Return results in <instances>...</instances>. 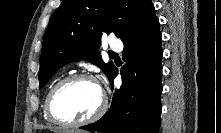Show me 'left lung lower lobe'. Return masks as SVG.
I'll use <instances>...</instances> for the list:
<instances>
[{"instance_id":"1","label":"left lung lower lobe","mask_w":221,"mask_h":133,"mask_svg":"<svg viewBox=\"0 0 221 133\" xmlns=\"http://www.w3.org/2000/svg\"><path fill=\"white\" fill-rule=\"evenodd\" d=\"M161 41L159 20L156 19L123 42V59L133 63V73H128V65L121 68L123 84L115 91L109 110L100 120L81 129L104 133H158L162 92ZM117 74L115 67L109 77L112 87Z\"/></svg>"}]
</instances>
